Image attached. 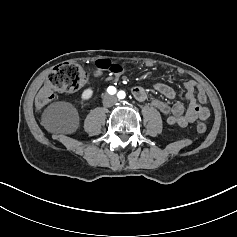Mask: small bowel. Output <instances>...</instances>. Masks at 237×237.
I'll return each mask as SVG.
<instances>
[{
    "label": "small bowel",
    "mask_w": 237,
    "mask_h": 237,
    "mask_svg": "<svg viewBox=\"0 0 237 237\" xmlns=\"http://www.w3.org/2000/svg\"><path fill=\"white\" fill-rule=\"evenodd\" d=\"M184 86L189 103L187 109L181 103L170 105L161 99H153L151 102L155 109L166 116V121L170 125L187 127L197 120H206L210 115V111L206 106L207 95L203 87L194 80H188ZM154 87L166 99H173L175 97V91L165 83L157 82ZM131 93L140 102L148 99L147 91L141 86H133Z\"/></svg>",
    "instance_id": "1"
}]
</instances>
